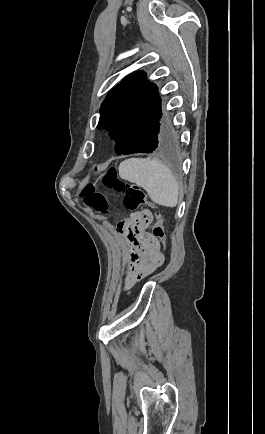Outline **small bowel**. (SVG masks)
<instances>
[{
  "instance_id": "small-bowel-1",
  "label": "small bowel",
  "mask_w": 265,
  "mask_h": 434,
  "mask_svg": "<svg viewBox=\"0 0 265 434\" xmlns=\"http://www.w3.org/2000/svg\"><path fill=\"white\" fill-rule=\"evenodd\" d=\"M151 221V215L143 211L132 212L122 221L126 230L119 233L125 239L130 254V266L125 277L126 287L151 274L164 263L160 243L151 237L149 231ZM130 228L133 229L132 232Z\"/></svg>"
}]
</instances>
